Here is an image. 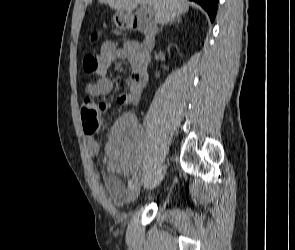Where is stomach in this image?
<instances>
[{"label":"stomach","instance_id":"obj_1","mask_svg":"<svg viewBox=\"0 0 295 250\" xmlns=\"http://www.w3.org/2000/svg\"><path fill=\"white\" fill-rule=\"evenodd\" d=\"M116 18H117V19H116ZM117 20H118V21H117ZM114 21H115L116 25H118V26H121V25L123 24V23H122V19H121L120 14H117V15L115 16Z\"/></svg>","mask_w":295,"mask_h":250}]
</instances>
